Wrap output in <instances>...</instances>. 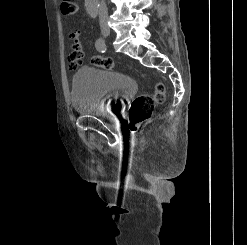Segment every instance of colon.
<instances>
[{"label": "colon", "mask_w": 247, "mask_h": 245, "mask_svg": "<svg viewBox=\"0 0 247 245\" xmlns=\"http://www.w3.org/2000/svg\"><path fill=\"white\" fill-rule=\"evenodd\" d=\"M61 11L66 15H73L77 11V5L72 0H63L61 3ZM72 36L75 40L73 45V53L70 55L68 61L71 68L75 69L79 67L83 61L84 52L82 44L78 39L77 32H73ZM91 63L99 68L113 69L115 62L106 57L93 56L90 59ZM165 98V87L162 83H157L155 86V92L153 95H140L137 96L129 109L130 123L136 127L146 121H148L152 115L154 106L157 103L163 102Z\"/></svg>", "instance_id": "5ec220e1"}]
</instances>
